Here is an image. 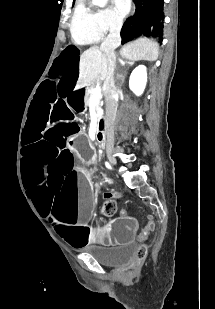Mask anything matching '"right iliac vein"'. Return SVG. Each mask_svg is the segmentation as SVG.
<instances>
[{"label":"right iliac vein","instance_id":"right-iliac-vein-1","mask_svg":"<svg viewBox=\"0 0 215 309\" xmlns=\"http://www.w3.org/2000/svg\"><path fill=\"white\" fill-rule=\"evenodd\" d=\"M109 160H110L111 164L116 165V159H115V157L110 156Z\"/></svg>","mask_w":215,"mask_h":309}]
</instances>
